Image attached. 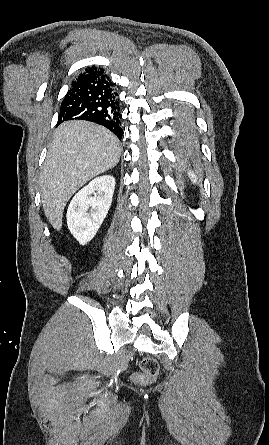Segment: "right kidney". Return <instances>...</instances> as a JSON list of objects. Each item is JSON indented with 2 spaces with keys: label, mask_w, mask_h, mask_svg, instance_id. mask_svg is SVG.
<instances>
[{
  "label": "right kidney",
  "mask_w": 269,
  "mask_h": 445,
  "mask_svg": "<svg viewBox=\"0 0 269 445\" xmlns=\"http://www.w3.org/2000/svg\"><path fill=\"white\" fill-rule=\"evenodd\" d=\"M115 183L111 175L100 176L71 200L66 215L67 225L80 244L90 242L99 230L111 206Z\"/></svg>",
  "instance_id": "1"
}]
</instances>
